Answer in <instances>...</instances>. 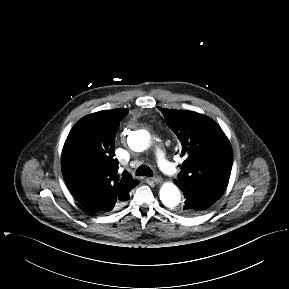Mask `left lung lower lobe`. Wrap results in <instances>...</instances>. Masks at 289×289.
Here are the masks:
<instances>
[{
  "mask_svg": "<svg viewBox=\"0 0 289 289\" xmlns=\"http://www.w3.org/2000/svg\"><path fill=\"white\" fill-rule=\"evenodd\" d=\"M184 191L185 204L179 209V212L184 215L194 216L202 213L210 207L216 200L215 197L201 192Z\"/></svg>",
  "mask_w": 289,
  "mask_h": 289,
  "instance_id": "obj_1",
  "label": "left lung lower lobe"
}]
</instances>
